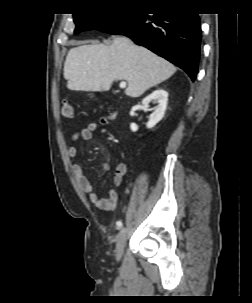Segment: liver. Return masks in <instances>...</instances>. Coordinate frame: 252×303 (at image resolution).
<instances>
[{"label":"liver","mask_w":252,"mask_h":303,"mask_svg":"<svg viewBox=\"0 0 252 303\" xmlns=\"http://www.w3.org/2000/svg\"><path fill=\"white\" fill-rule=\"evenodd\" d=\"M176 67L127 37H114L110 45L92 43L70 49L64 63L67 88L108 91L114 81L126 80L125 94L139 97L171 77Z\"/></svg>","instance_id":"1"}]
</instances>
